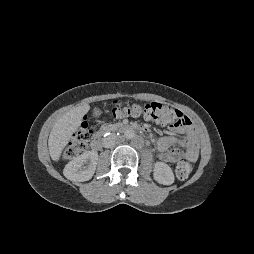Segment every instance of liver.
Here are the masks:
<instances>
[{
	"instance_id": "obj_1",
	"label": "liver",
	"mask_w": 254,
	"mask_h": 254,
	"mask_svg": "<svg viewBox=\"0 0 254 254\" xmlns=\"http://www.w3.org/2000/svg\"><path fill=\"white\" fill-rule=\"evenodd\" d=\"M90 110L88 104L78 106L60 117L54 124L48 140L49 154L53 161H58L72 134L82 122L83 116Z\"/></svg>"
}]
</instances>
